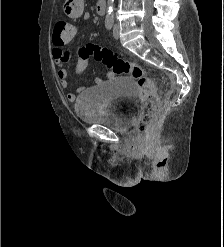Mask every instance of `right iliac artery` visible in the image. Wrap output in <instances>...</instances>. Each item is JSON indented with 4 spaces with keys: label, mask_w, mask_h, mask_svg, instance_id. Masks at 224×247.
I'll return each mask as SVG.
<instances>
[{
    "label": "right iliac artery",
    "mask_w": 224,
    "mask_h": 247,
    "mask_svg": "<svg viewBox=\"0 0 224 247\" xmlns=\"http://www.w3.org/2000/svg\"><path fill=\"white\" fill-rule=\"evenodd\" d=\"M114 24V20L112 18H107L105 20V26L108 30H111Z\"/></svg>",
    "instance_id": "right-iliac-artery-1"
}]
</instances>
